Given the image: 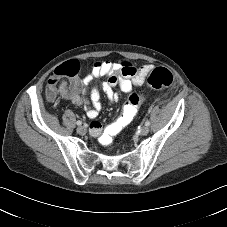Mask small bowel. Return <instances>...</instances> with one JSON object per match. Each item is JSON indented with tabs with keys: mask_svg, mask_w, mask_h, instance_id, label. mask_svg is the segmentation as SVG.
Instances as JSON below:
<instances>
[{
	"mask_svg": "<svg viewBox=\"0 0 227 227\" xmlns=\"http://www.w3.org/2000/svg\"><path fill=\"white\" fill-rule=\"evenodd\" d=\"M136 70L137 74L130 75L129 71ZM151 65H142L135 67L127 61L115 63L111 61H97L93 64L91 71L83 78L80 94L71 95L68 90L61 88L63 96L73 103L81 106L92 122L89 125V132L93 136L105 132L108 127H104L99 121L95 120L101 111L100 91H103L110 103L117 101V94L114 88L118 86L121 91L127 93L133 87L143 85L146 77L151 72ZM55 74L51 78H55ZM106 80H102V78Z\"/></svg>",
	"mask_w": 227,
	"mask_h": 227,
	"instance_id": "obj_1",
	"label": "small bowel"
}]
</instances>
